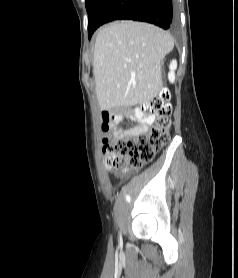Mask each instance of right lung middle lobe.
I'll return each mask as SVG.
<instances>
[{
	"label": "right lung middle lobe",
	"mask_w": 238,
	"mask_h": 278,
	"mask_svg": "<svg viewBox=\"0 0 238 278\" xmlns=\"http://www.w3.org/2000/svg\"><path fill=\"white\" fill-rule=\"evenodd\" d=\"M96 0H86V9H87V12L90 10V8L92 7L93 3L95 2Z\"/></svg>",
	"instance_id": "obj_1"
}]
</instances>
